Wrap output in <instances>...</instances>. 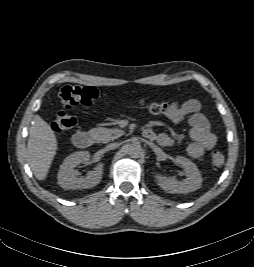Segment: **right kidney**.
<instances>
[{"mask_svg":"<svg viewBox=\"0 0 254 267\" xmlns=\"http://www.w3.org/2000/svg\"><path fill=\"white\" fill-rule=\"evenodd\" d=\"M90 159L88 151L75 152L65 158L58 172V184L64 189H88L99 184L103 174V164H98L86 177H77L74 169Z\"/></svg>","mask_w":254,"mask_h":267,"instance_id":"obj_1","label":"right kidney"}]
</instances>
